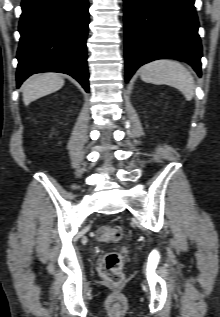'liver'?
Wrapping results in <instances>:
<instances>
[{
	"mask_svg": "<svg viewBox=\"0 0 220 317\" xmlns=\"http://www.w3.org/2000/svg\"><path fill=\"white\" fill-rule=\"evenodd\" d=\"M64 85V79L56 73H43L37 75L23 85V101L25 105L58 91Z\"/></svg>",
	"mask_w": 220,
	"mask_h": 317,
	"instance_id": "obj_1",
	"label": "liver"
}]
</instances>
